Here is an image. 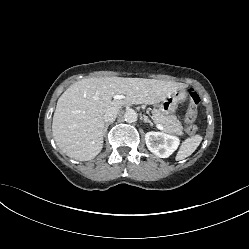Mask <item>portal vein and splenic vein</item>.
<instances>
[{
    "label": "portal vein and splenic vein",
    "mask_w": 249,
    "mask_h": 249,
    "mask_svg": "<svg viewBox=\"0 0 249 249\" xmlns=\"http://www.w3.org/2000/svg\"><path fill=\"white\" fill-rule=\"evenodd\" d=\"M122 98H124L123 95H115V96H114V99H122ZM156 127H157L159 130H164V127H163L162 125H160V124H156Z\"/></svg>",
    "instance_id": "1"
}]
</instances>
